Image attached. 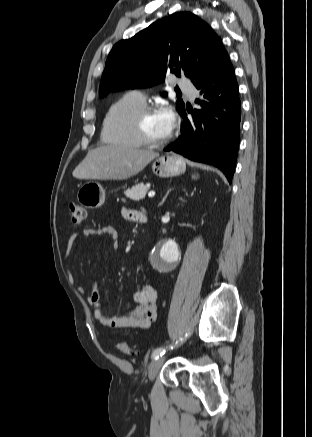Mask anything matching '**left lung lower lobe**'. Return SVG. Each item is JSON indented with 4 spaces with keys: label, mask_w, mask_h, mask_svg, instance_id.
I'll list each match as a JSON object with an SVG mask.
<instances>
[{
    "label": "left lung lower lobe",
    "mask_w": 312,
    "mask_h": 437,
    "mask_svg": "<svg viewBox=\"0 0 312 437\" xmlns=\"http://www.w3.org/2000/svg\"><path fill=\"white\" fill-rule=\"evenodd\" d=\"M195 86L205 98L197 100L201 109L188 110L193 117L190 120L185 109L180 113L182 135L164 150L212 164L231 183L238 155L241 106L234 69L226 51Z\"/></svg>",
    "instance_id": "left-lung-lower-lobe-1"
}]
</instances>
